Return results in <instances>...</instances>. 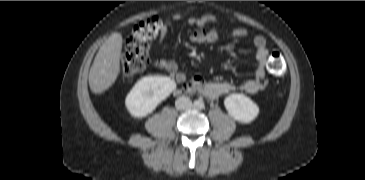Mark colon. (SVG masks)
<instances>
[{
  "mask_svg": "<svg viewBox=\"0 0 365 180\" xmlns=\"http://www.w3.org/2000/svg\"><path fill=\"white\" fill-rule=\"evenodd\" d=\"M163 23L159 17L148 18L139 23L128 36L122 50L120 69L124 75L140 73L149 61V41L158 36ZM268 70L275 76L285 72V61L282 54L273 51L268 59Z\"/></svg>",
  "mask_w": 365,
  "mask_h": 180,
  "instance_id": "colon-1",
  "label": "colon"
}]
</instances>
